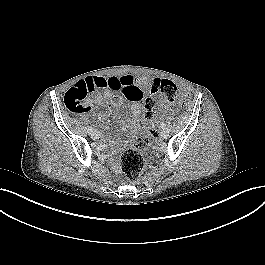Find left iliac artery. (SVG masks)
Masks as SVG:
<instances>
[{"instance_id":"44dca946","label":"left iliac artery","mask_w":265,"mask_h":265,"mask_svg":"<svg viewBox=\"0 0 265 265\" xmlns=\"http://www.w3.org/2000/svg\"><path fill=\"white\" fill-rule=\"evenodd\" d=\"M160 126H161V128H165V127H166V123H165V122H162V123L160 124Z\"/></svg>"}]
</instances>
